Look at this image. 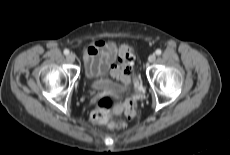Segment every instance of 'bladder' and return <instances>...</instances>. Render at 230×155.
<instances>
[{
  "mask_svg": "<svg viewBox=\"0 0 230 155\" xmlns=\"http://www.w3.org/2000/svg\"><path fill=\"white\" fill-rule=\"evenodd\" d=\"M92 87L95 89H108L112 91L119 92L122 90V86L118 83L112 82L110 80L96 79L91 83Z\"/></svg>",
  "mask_w": 230,
  "mask_h": 155,
  "instance_id": "bladder-1",
  "label": "bladder"
}]
</instances>
